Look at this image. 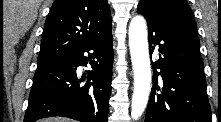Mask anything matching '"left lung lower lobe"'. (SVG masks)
Returning <instances> with one entry per match:
<instances>
[{"mask_svg":"<svg viewBox=\"0 0 221 122\" xmlns=\"http://www.w3.org/2000/svg\"><path fill=\"white\" fill-rule=\"evenodd\" d=\"M138 11L147 20L150 55L159 52L145 122H212L196 27L166 19L150 4Z\"/></svg>","mask_w":221,"mask_h":122,"instance_id":"left-lung-lower-lobe-1","label":"left lung lower lobe"}]
</instances>
